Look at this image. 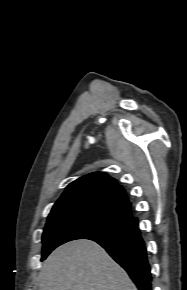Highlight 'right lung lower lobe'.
Instances as JSON below:
<instances>
[{
	"label": "right lung lower lobe",
	"mask_w": 187,
	"mask_h": 290,
	"mask_svg": "<svg viewBox=\"0 0 187 290\" xmlns=\"http://www.w3.org/2000/svg\"><path fill=\"white\" fill-rule=\"evenodd\" d=\"M100 244L129 274L139 290H152V275L137 224L89 238Z\"/></svg>",
	"instance_id": "98d812e1"
}]
</instances>
